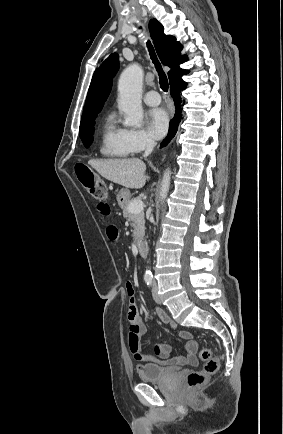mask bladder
I'll use <instances>...</instances> for the list:
<instances>
[{
  "mask_svg": "<svg viewBox=\"0 0 283 434\" xmlns=\"http://www.w3.org/2000/svg\"><path fill=\"white\" fill-rule=\"evenodd\" d=\"M178 374L174 367H161L154 364H147L139 371V377L145 382H162Z\"/></svg>",
  "mask_w": 283,
  "mask_h": 434,
  "instance_id": "1",
  "label": "bladder"
}]
</instances>
